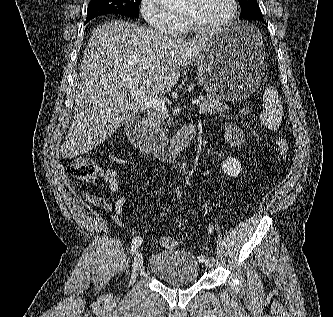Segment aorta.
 <instances>
[{"instance_id": "aorta-1", "label": "aorta", "mask_w": 333, "mask_h": 317, "mask_svg": "<svg viewBox=\"0 0 333 317\" xmlns=\"http://www.w3.org/2000/svg\"><path fill=\"white\" fill-rule=\"evenodd\" d=\"M156 1L166 9H174L179 5H181L184 0H156Z\"/></svg>"}]
</instances>
